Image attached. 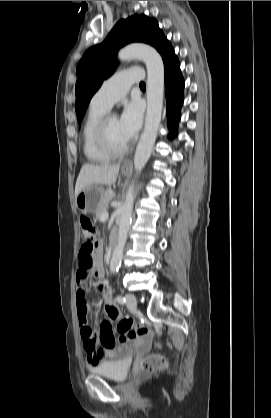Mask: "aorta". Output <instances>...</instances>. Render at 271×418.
<instances>
[{
    "instance_id": "762f6f07",
    "label": "aorta",
    "mask_w": 271,
    "mask_h": 418,
    "mask_svg": "<svg viewBox=\"0 0 271 418\" xmlns=\"http://www.w3.org/2000/svg\"><path fill=\"white\" fill-rule=\"evenodd\" d=\"M133 58L143 60L147 68V113L144 130L134 155V167L138 174L151 156L161 122L164 94V64L160 54L154 48L144 44L129 45L118 53L120 61ZM133 202L134 187L130 186L120 207L118 239L110 261V271L113 273L118 271L123 258L128 229L133 214Z\"/></svg>"
}]
</instances>
